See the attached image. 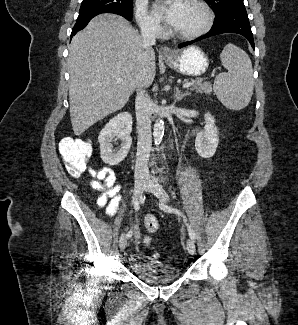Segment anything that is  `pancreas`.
<instances>
[{
	"label": "pancreas",
	"instance_id": "cf45deb5",
	"mask_svg": "<svg viewBox=\"0 0 298 325\" xmlns=\"http://www.w3.org/2000/svg\"><path fill=\"white\" fill-rule=\"evenodd\" d=\"M184 82H189L188 78H184ZM191 90L200 92V94H213L212 82H196L192 84Z\"/></svg>",
	"mask_w": 298,
	"mask_h": 325
}]
</instances>
